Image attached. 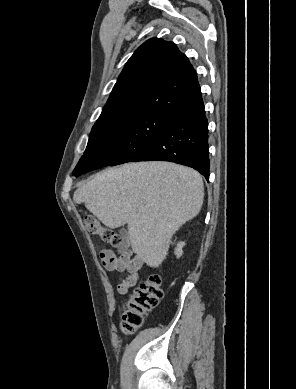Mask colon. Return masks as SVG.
Wrapping results in <instances>:
<instances>
[{"mask_svg": "<svg viewBox=\"0 0 296 389\" xmlns=\"http://www.w3.org/2000/svg\"><path fill=\"white\" fill-rule=\"evenodd\" d=\"M87 230L100 237L104 243L119 246L121 235L114 229L104 226L97 218L89 215L85 218ZM112 264V258L108 259ZM163 297L162 281L159 275L152 274L141 281L129 295L121 316V327L124 333L132 334L139 328L145 315L155 308Z\"/></svg>", "mask_w": 296, "mask_h": 389, "instance_id": "5ec220e1", "label": "colon"}]
</instances>
